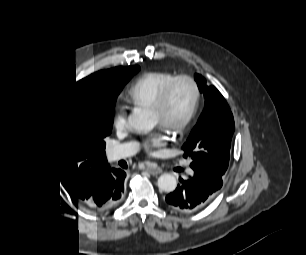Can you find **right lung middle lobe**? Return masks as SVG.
Listing matches in <instances>:
<instances>
[{
	"instance_id": "right-lung-middle-lobe-1",
	"label": "right lung middle lobe",
	"mask_w": 306,
	"mask_h": 255,
	"mask_svg": "<svg viewBox=\"0 0 306 255\" xmlns=\"http://www.w3.org/2000/svg\"><path fill=\"white\" fill-rule=\"evenodd\" d=\"M139 69L137 66L125 70L124 84ZM117 94L106 95L92 105L72 104L64 112L58 135L61 153L55 163L58 171L68 180L80 179L107 161L105 138L110 135L113 126ZM79 161H82L80 165Z\"/></svg>"
}]
</instances>
